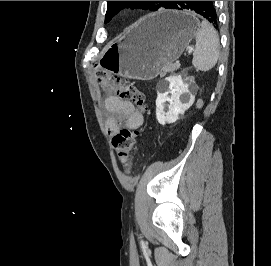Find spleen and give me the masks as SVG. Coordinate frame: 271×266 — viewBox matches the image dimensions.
I'll use <instances>...</instances> for the list:
<instances>
[{"mask_svg": "<svg viewBox=\"0 0 271 266\" xmlns=\"http://www.w3.org/2000/svg\"><path fill=\"white\" fill-rule=\"evenodd\" d=\"M196 45L192 64L197 71H209L217 63L219 57V37L213 26L202 21L195 33Z\"/></svg>", "mask_w": 271, "mask_h": 266, "instance_id": "3e777b00", "label": "spleen"}]
</instances>
